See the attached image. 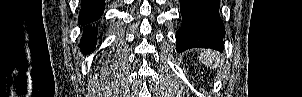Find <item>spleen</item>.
Wrapping results in <instances>:
<instances>
[{"instance_id":"obj_1","label":"spleen","mask_w":302,"mask_h":97,"mask_svg":"<svg viewBox=\"0 0 302 97\" xmlns=\"http://www.w3.org/2000/svg\"><path fill=\"white\" fill-rule=\"evenodd\" d=\"M199 59L203 64L210 68H217L219 65L218 55L209 49L201 53Z\"/></svg>"}]
</instances>
